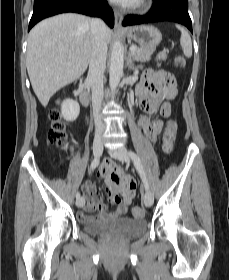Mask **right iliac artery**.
Here are the masks:
<instances>
[{"label":"right iliac artery","mask_w":229,"mask_h":280,"mask_svg":"<svg viewBox=\"0 0 229 280\" xmlns=\"http://www.w3.org/2000/svg\"><path fill=\"white\" fill-rule=\"evenodd\" d=\"M99 163H100V159L95 158L90 165V171H93L99 165ZM79 198H80V193L77 192L76 193V199L78 200Z\"/></svg>","instance_id":"1"}]
</instances>
